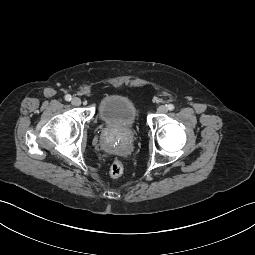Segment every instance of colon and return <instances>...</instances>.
Wrapping results in <instances>:
<instances>
[{"instance_id":"obj_1","label":"colon","mask_w":255,"mask_h":255,"mask_svg":"<svg viewBox=\"0 0 255 255\" xmlns=\"http://www.w3.org/2000/svg\"><path fill=\"white\" fill-rule=\"evenodd\" d=\"M124 173V165L122 161L115 159L111 162L109 166V174L113 178H118Z\"/></svg>"}]
</instances>
